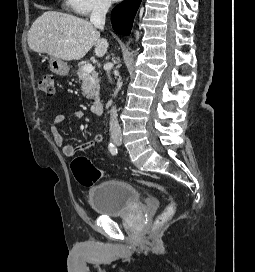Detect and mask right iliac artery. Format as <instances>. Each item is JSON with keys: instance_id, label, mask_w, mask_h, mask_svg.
<instances>
[{"instance_id": "obj_1", "label": "right iliac artery", "mask_w": 255, "mask_h": 272, "mask_svg": "<svg viewBox=\"0 0 255 272\" xmlns=\"http://www.w3.org/2000/svg\"><path fill=\"white\" fill-rule=\"evenodd\" d=\"M109 151L112 155H116L118 150H117V147L113 144V143H109Z\"/></svg>"}]
</instances>
